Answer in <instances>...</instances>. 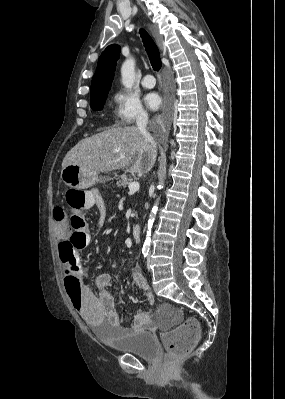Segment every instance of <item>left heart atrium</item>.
<instances>
[{"mask_svg":"<svg viewBox=\"0 0 285 399\" xmlns=\"http://www.w3.org/2000/svg\"><path fill=\"white\" fill-rule=\"evenodd\" d=\"M145 103L151 110H157L161 104V98L157 93L151 92L145 96Z\"/></svg>","mask_w":285,"mask_h":399,"instance_id":"left-heart-atrium-1","label":"left heart atrium"}]
</instances>
